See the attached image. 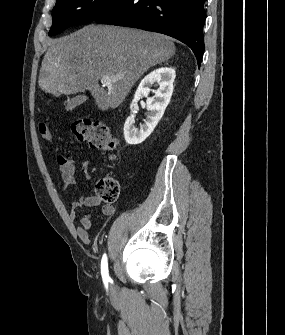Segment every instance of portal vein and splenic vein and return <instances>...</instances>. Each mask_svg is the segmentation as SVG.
<instances>
[{
	"mask_svg": "<svg viewBox=\"0 0 285 335\" xmlns=\"http://www.w3.org/2000/svg\"><path fill=\"white\" fill-rule=\"evenodd\" d=\"M121 78H124V74H117V76H102L100 82L103 86H107V84L117 82V80H121Z\"/></svg>",
	"mask_w": 285,
	"mask_h": 335,
	"instance_id": "portal-vein-and-splenic-vein-1",
	"label": "portal vein and splenic vein"
}]
</instances>
